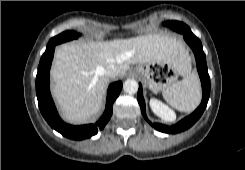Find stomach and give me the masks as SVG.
Wrapping results in <instances>:
<instances>
[{"mask_svg": "<svg viewBox=\"0 0 245 170\" xmlns=\"http://www.w3.org/2000/svg\"><path fill=\"white\" fill-rule=\"evenodd\" d=\"M134 71L152 92L163 91L180 75L175 65L168 61L140 64Z\"/></svg>", "mask_w": 245, "mask_h": 170, "instance_id": "obj_1", "label": "stomach"}]
</instances>
